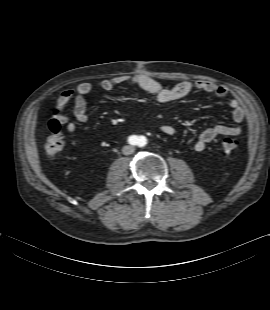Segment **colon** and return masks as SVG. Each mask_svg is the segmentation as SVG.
<instances>
[{
  "instance_id": "obj_1",
  "label": "colon",
  "mask_w": 270,
  "mask_h": 310,
  "mask_svg": "<svg viewBox=\"0 0 270 310\" xmlns=\"http://www.w3.org/2000/svg\"><path fill=\"white\" fill-rule=\"evenodd\" d=\"M48 137L45 142V152L48 156L54 157L58 155L64 147V135L59 120L53 117L48 123ZM221 149L224 152H232L237 142L233 138H224L221 141Z\"/></svg>"
}]
</instances>
